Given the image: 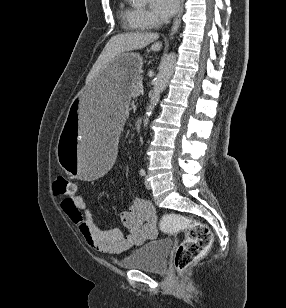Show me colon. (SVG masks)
Instances as JSON below:
<instances>
[{"mask_svg": "<svg viewBox=\"0 0 286 308\" xmlns=\"http://www.w3.org/2000/svg\"><path fill=\"white\" fill-rule=\"evenodd\" d=\"M75 191L74 183L63 176H59L53 182V192L58 196H69ZM164 232H186V237L177 248L174 266L177 271L183 272L197 259H199L212 243L210 229L186 216L178 214H164L160 223Z\"/></svg>", "mask_w": 286, "mask_h": 308, "instance_id": "obj_1", "label": "colon"}]
</instances>
